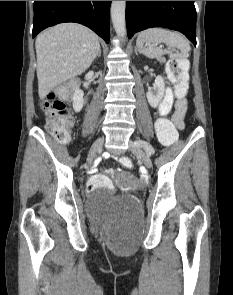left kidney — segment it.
Segmentation results:
<instances>
[{
    "instance_id": "1",
    "label": "left kidney",
    "mask_w": 233,
    "mask_h": 295,
    "mask_svg": "<svg viewBox=\"0 0 233 295\" xmlns=\"http://www.w3.org/2000/svg\"><path fill=\"white\" fill-rule=\"evenodd\" d=\"M165 92V82L162 76L155 79L152 90L146 93L147 100L151 107L156 108L162 100Z\"/></svg>"
}]
</instances>
